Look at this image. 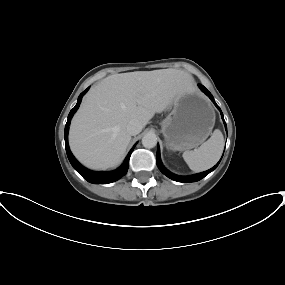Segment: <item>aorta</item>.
<instances>
[{"instance_id":"762f6f07","label":"aorta","mask_w":285,"mask_h":285,"mask_svg":"<svg viewBox=\"0 0 285 285\" xmlns=\"http://www.w3.org/2000/svg\"><path fill=\"white\" fill-rule=\"evenodd\" d=\"M157 144V137L154 133H147L143 136L142 138V145L145 147V148H153L155 147Z\"/></svg>"}]
</instances>
